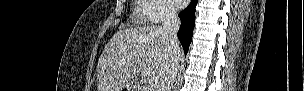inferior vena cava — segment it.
<instances>
[{
	"label": "inferior vena cava",
	"mask_w": 304,
	"mask_h": 91,
	"mask_svg": "<svg viewBox=\"0 0 304 91\" xmlns=\"http://www.w3.org/2000/svg\"><path fill=\"white\" fill-rule=\"evenodd\" d=\"M179 27L180 19L176 9L172 6H167L164 12L162 31L169 43L170 61L159 77L156 91H171L176 78L181 60V49L177 38Z\"/></svg>",
	"instance_id": "obj_1"
}]
</instances>
